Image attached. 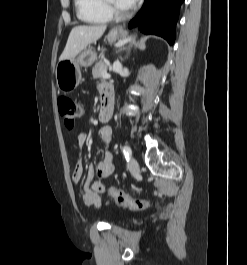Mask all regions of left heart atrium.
I'll use <instances>...</instances> for the list:
<instances>
[{
	"label": "left heart atrium",
	"mask_w": 247,
	"mask_h": 265,
	"mask_svg": "<svg viewBox=\"0 0 247 265\" xmlns=\"http://www.w3.org/2000/svg\"><path fill=\"white\" fill-rule=\"evenodd\" d=\"M138 0H117L119 6L124 9H129L135 5Z\"/></svg>",
	"instance_id": "left-heart-atrium-1"
}]
</instances>
